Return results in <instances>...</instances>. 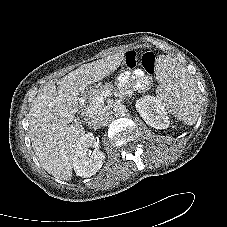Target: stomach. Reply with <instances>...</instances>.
<instances>
[{
  "mask_svg": "<svg viewBox=\"0 0 227 227\" xmlns=\"http://www.w3.org/2000/svg\"><path fill=\"white\" fill-rule=\"evenodd\" d=\"M89 90L90 89H86V90H84L81 94H82V96H84V97H88L89 96Z\"/></svg>",
  "mask_w": 227,
  "mask_h": 227,
  "instance_id": "0dacf381",
  "label": "stomach"
}]
</instances>
